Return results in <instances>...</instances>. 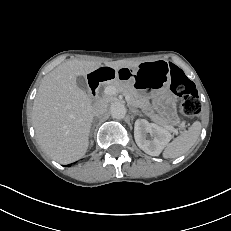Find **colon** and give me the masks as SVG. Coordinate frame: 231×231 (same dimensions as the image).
<instances>
[{
  "instance_id": "colon-1",
  "label": "colon",
  "mask_w": 231,
  "mask_h": 231,
  "mask_svg": "<svg viewBox=\"0 0 231 231\" xmlns=\"http://www.w3.org/2000/svg\"><path fill=\"white\" fill-rule=\"evenodd\" d=\"M171 89L184 99L181 107L184 115L193 117L201 113V104L196 87L179 69L174 71Z\"/></svg>"
}]
</instances>
